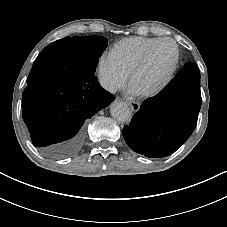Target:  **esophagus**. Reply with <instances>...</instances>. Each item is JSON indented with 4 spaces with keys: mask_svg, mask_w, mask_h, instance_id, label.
Instances as JSON below:
<instances>
[{
    "mask_svg": "<svg viewBox=\"0 0 227 227\" xmlns=\"http://www.w3.org/2000/svg\"><path fill=\"white\" fill-rule=\"evenodd\" d=\"M128 104L133 112H137L140 109V103L136 101H128Z\"/></svg>",
    "mask_w": 227,
    "mask_h": 227,
    "instance_id": "34e87169",
    "label": "esophagus"
}]
</instances>
